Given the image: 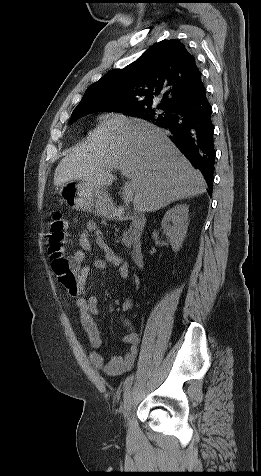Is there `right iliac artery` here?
Returning <instances> with one entry per match:
<instances>
[{"label": "right iliac artery", "instance_id": "obj_1", "mask_svg": "<svg viewBox=\"0 0 261 476\" xmlns=\"http://www.w3.org/2000/svg\"><path fill=\"white\" fill-rule=\"evenodd\" d=\"M133 379H134V375L131 374V375L128 376L127 379L125 380V382H124V391H125V392L130 388V386H131V384H132V382H133Z\"/></svg>", "mask_w": 261, "mask_h": 476}]
</instances>
